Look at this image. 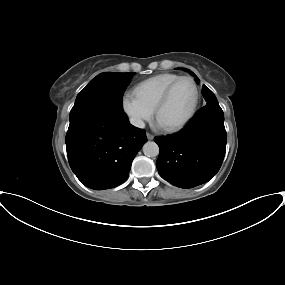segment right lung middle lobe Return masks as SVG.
Wrapping results in <instances>:
<instances>
[{
    "label": "right lung middle lobe",
    "mask_w": 285,
    "mask_h": 285,
    "mask_svg": "<svg viewBox=\"0 0 285 285\" xmlns=\"http://www.w3.org/2000/svg\"><path fill=\"white\" fill-rule=\"evenodd\" d=\"M135 73L105 72L97 75L78 94L69 119L94 108L124 113L122 96Z\"/></svg>",
    "instance_id": "dd1d6c3e"
}]
</instances>
